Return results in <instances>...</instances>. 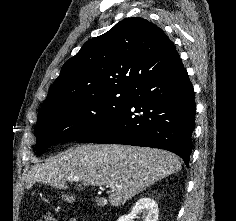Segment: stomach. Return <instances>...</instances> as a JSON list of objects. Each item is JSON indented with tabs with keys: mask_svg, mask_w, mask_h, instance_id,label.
Here are the masks:
<instances>
[{
	"mask_svg": "<svg viewBox=\"0 0 236 221\" xmlns=\"http://www.w3.org/2000/svg\"><path fill=\"white\" fill-rule=\"evenodd\" d=\"M64 198H65V200H67V201L73 200V197H69V196H64Z\"/></svg>",
	"mask_w": 236,
	"mask_h": 221,
	"instance_id": "0dacf381",
	"label": "stomach"
}]
</instances>
